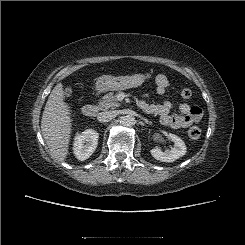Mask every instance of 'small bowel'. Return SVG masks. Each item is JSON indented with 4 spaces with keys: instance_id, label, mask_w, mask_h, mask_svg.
<instances>
[{
    "instance_id": "c3829d8e",
    "label": "small bowel",
    "mask_w": 245,
    "mask_h": 245,
    "mask_svg": "<svg viewBox=\"0 0 245 245\" xmlns=\"http://www.w3.org/2000/svg\"><path fill=\"white\" fill-rule=\"evenodd\" d=\"M155 84L156 94L164 95L167 93L169 80L164 74H158L155 76ZM141 107L146 112L157 114L164 126L174 129L186 128L196 124L203 116V112L200 107L191 106L187 103H181L179 105L180 114H172L171 102L169 100H165L160 104H151L143 100L141 101Z\"/></svg>"
}]
</instances>
